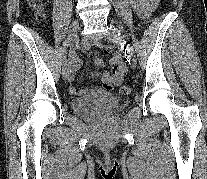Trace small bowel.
Wrapping results in <instances>:
<instances>
[{"label": "small bowel", "mask_w": 207, "mask_h": 179, "mask_svg": "<svg viewBox=\"0 0 207 179\" xmlns=\"http://www.w3.org/2000/svg\"><path fill=\"white\" fill-rule=\"evenodd\" d=\"M158 2L159 0H128L130 7L143 18H148L150 16ZM98 46L105 53H113L110 59L112 71L111 73L108 71L92 73L90 78L95 76L99 77L101 81V87L105 90H112L122 82L123 77L126 74V65L121 54L114 52L113 46L103 45L101 43H99ZM95 64L99 67H103L104 61L97 57L95 58ZM68 66L69 71L74 74L81 67V60L76 56H72ZM71 80H73V78H71ZM81 91V88L74 86L71 87V92L74 94H79Z\"/></svg>", "instance_id": "small-bowel-1"}]
</instances>
